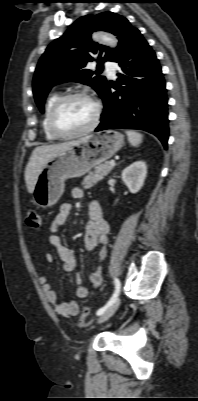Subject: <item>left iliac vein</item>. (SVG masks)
Instances as JSON below:
<instances>
[{
    "mask_svg": "<svg viewBox=\"0 0 198 401\" xmlns=\"http://www.w3.org/2000/svg\"><path fill=\"white\" fill-rule=\"evenodd\" d=\"M120 298H117L115 302L100 316L98 323L107 321L119 308Z\"/></svg>",
    "mask_w": 198,
    "mask_h": 401,
    "instance_id": "4c4485c4",
    "label": "left iliac vein"
}]
</instances>
